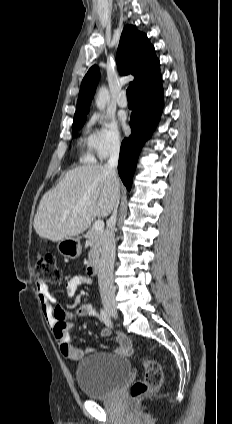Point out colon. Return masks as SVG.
<instances>
[{
  "label": "colon",
  "mask_w": 232,
  "mask_h": 424,
  "mask_svg": "<svg viewBox=\"0 0 232 424\" xmlns=\"http://www.w3.org/2000/svg\"><path fill=\"white\" fill-rule=\"evenodd\" d=\"M35 278L40 283H56L62 280V271L56 264L54 255L38 253L36 255ZM144 378L132 384L129 390L131 400L155 393L161 386L163 373L156 360L143 361Z\"/></svg>",
  "instance_id": "5ec220e1"
}]
</instances>
